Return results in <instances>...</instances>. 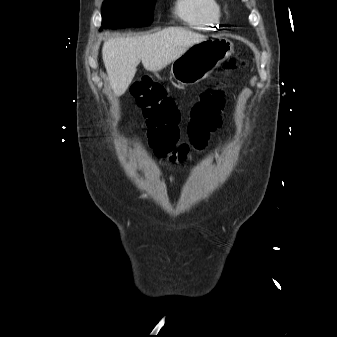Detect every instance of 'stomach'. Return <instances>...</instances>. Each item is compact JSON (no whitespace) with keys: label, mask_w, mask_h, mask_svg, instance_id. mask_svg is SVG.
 I'll return each instance as SVG.
<instances>
[{"label":"stomach","mask_w":337,"mask_h":337,"mask_svg":"<svg viewBox=\"0 0 337 337\" xmlns=\"http://www.w3.org/2000/svg\"><path fill=\"white\" fill-rule=\"evenodd\" d=\"M233 52V43L226 38L205 39L190 46L171 65V74L183 85L205 79Z\"/></svg>","instance_id":"stomach-1"}]
</instances>
